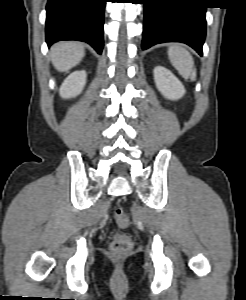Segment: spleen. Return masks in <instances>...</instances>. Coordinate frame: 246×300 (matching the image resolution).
<instances>
[{
	"instance_id": "obj_1",
	"label": "spleen",
	"mask_w": 246,
	"mask_h": 300,
	"mask_svg": "<svg viewBox=\"0 0 246 300\" xmlns=\"http://www.w3.org/2000/svg\"><path fill=\"white\" fill-rule=\"evenodd\" d=\"M168 57L172 65L184 79L190 78L193 81L196 79L193 57L185 48L178 45L170 46Z\"/></svg>"
}]
</instances>
